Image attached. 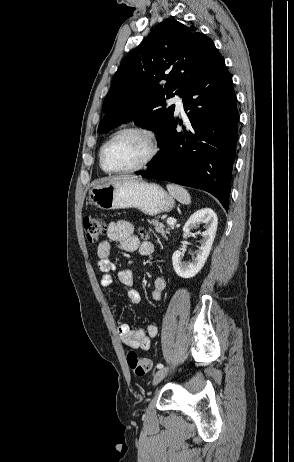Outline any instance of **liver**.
<instances>
[{
	"mask_svg": "<svg viewBox=\"0 0 294 462\" xmlns=\"http://www.w3.org/2000/svg\"><path fill=\"white\" fill-rule=\"evenodd\" d=\"M123 178L137 179L136 176H120V177H116V178L111 179V181H112V180H116V179H123Z\"/></svg>",
	"mask_w": 294,
	"mask_h": 462,
	"instance_id": "1",
	"label": "liver"
}]
</instances>
